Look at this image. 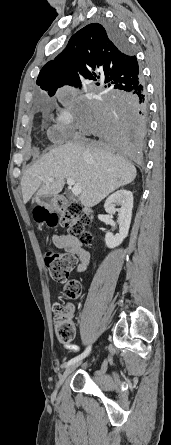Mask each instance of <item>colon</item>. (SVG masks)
<instances>
[{
    "mask_svg": "<svg viewBox=\"0 0 171 445\" xmlns=\"http://www.w3.org/2000/svg\"><path fill=\"white\" fill-rule=\"evenodd\" d=\"M35 219L38 224L46 225L50 228L61 226L68 229L73 235H81L85 241L90 240V236L85 233V225L89 222V215L77 202H69L62 206L60 214L45 213L42 210L35 212ZM45 261L51 278L55 281H65L69 272L76 265V257L72 254H61L49 250L45 254ZM80 285L77 281L71 280L65 288V296L73 299L78 296ZM55 317V335L59 342L69 344L74 340L75 327L71 321L72 308L63 302H55L53 305Z\"/></svg>",
    "mask_w": 171,
    "mask_h": 445,
    "instance_id": "5ec220e1",
    "label": "colon"
}]
</instances>
